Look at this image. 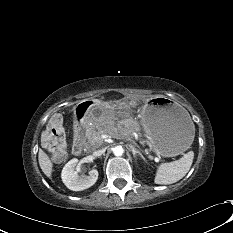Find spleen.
Segmentation results:
<instances>
[{
	"label": "spleen",
	"instance_id": "spleen-1",
	"mask_svg": "<svg viewBox=\"0 0 233 233\" xmlns=\"http://www.w3.org/2000/svg\"><path fill=\"white\" fill-rule=\"evenodd\" d=\"M193 158L194 152L189 151L177 161L162 163L157 169L154 182L160 185L176 183L188 173Z\"/></svg>",
	"mask_w": 233,
	"mask_h": 233
}]
</instances>
